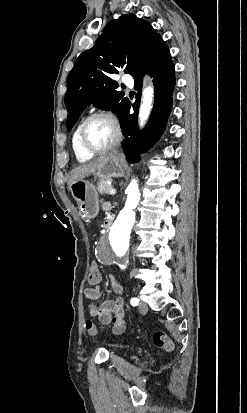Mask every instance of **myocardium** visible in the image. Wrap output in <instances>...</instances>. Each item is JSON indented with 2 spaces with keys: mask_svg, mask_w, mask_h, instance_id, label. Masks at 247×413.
<instances>
[{
  "mask_svg": "<svg viewBox=\"0 0 247 413\" xmlns=\"http://www.w3.org/2000/svg\"><path fill=\"white\" fill-rule=\"evenodd\" d=\"M99 118H103V119H107L109 120L115 127V135L113 137V139L106 145L102 146V147H91L89 145L86 144L85 140H84V131L86 129V127L90 124V122H92L95 119H99ZM122 138V130L120 125L118 124V122L111 116L110 113L100 110L97 111L95 113H93L92 115H90L80 126L79 131H78V143L80 148L88 154H103L111 149H113L115 146H117L120 142Z\"/></svg>",
  "mask_w": 247,
  "mask_h": 413,
  "instance_id": "f54148a6",
  "label": "myocardium"
}]
</instances>
